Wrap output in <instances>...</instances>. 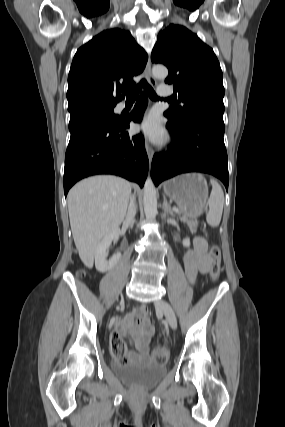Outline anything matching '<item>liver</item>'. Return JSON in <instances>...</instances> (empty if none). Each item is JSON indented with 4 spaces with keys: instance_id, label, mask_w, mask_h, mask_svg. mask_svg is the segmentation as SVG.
Masks as SVG:
<instances>
[{
    "instance_id": "1",
    "label": "liver",
    "mask_w": 285,
    "mask_h": 427,
    "mask_svg": "<svg viewBox=\"0 0 285 427\" xmlns=\"http://www.w3.org/2000/svg\"><path fill=\"white\" fill-rule=\"evenodd\" d=\"M130 194V183L116 176L90 177L69 191L72 235L79 257L87 267L93 266L101 239L123 222Z\"/></svg>"
}]
</instances>
